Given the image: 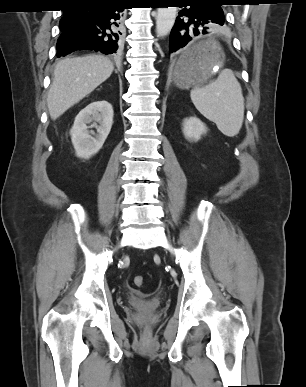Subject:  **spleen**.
Segmentation results:
<instances>
[{
  "label": "spleen",
  "instance_id": "3e777b00",
  "mask_svg": "<svg viewBox=\"0 0 306 387\" xmlns=\"http://www.w3.org/2000/svg\"><path fill=\"white\" fill-rule=\"evenodd\" d=\"M196 109L226 136L237 135L244 119L242 88L230 69L220 72L216 80L191 90Z\"/></svg>",
  "mask_w": 306,
  "mask_h": 387
}]
</instances>
